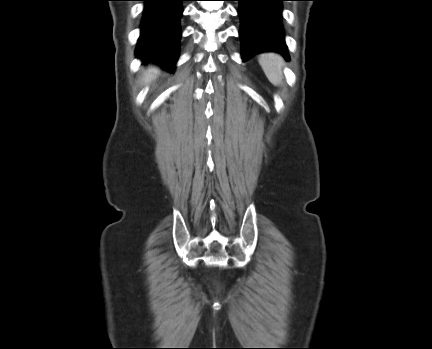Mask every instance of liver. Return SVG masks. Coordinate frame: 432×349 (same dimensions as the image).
I'll list each match as a JSON object with an SVG mask.
<instances>
[{"label":"liver","instance_id":"6515ba94","mask_svg":"<svg viewBox=\"0 0 432 349\" xmlns=\"http://www.w3.org/2000/svg\"><path fill=\"white\" fill-rule=\"evenodd\" d=\"M144 74H145L144 83L148 84L157 77L158 69L156 67L150 66L146 69Z\"/></svg>","mask_w":432,"mask_h":349}]
</instances>
